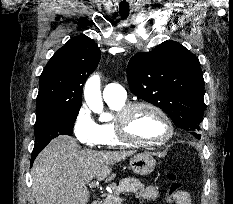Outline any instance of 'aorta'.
I'll use <instances>...</instances> for the list:
<instances>
[{
	"label": "aorta",
	"mask_w": 233,
	"mask_h": 204,
	"mask_svg": "<svg viewBox=\"0 0 233 204\" xmlns=\"http://www.w3.org/2000/svg\"><path fill=\"white\" fill-rule=\"evenodd\" d=\"M84 97L88 107L94 113L99 114L101 121L110 120L111 116L103 111L99 75L94 74L87 80L84 87Z\"/></svg>",
	"instance_id": "762f6f07"
}]
</instances>
